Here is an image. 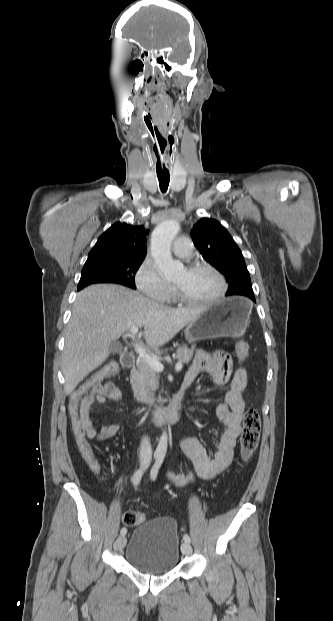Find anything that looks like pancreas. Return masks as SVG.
Returning <instances> with one entry per match:
<instances>
[{"label":"pancreas","instance_id":"1","mask_svg":"<svg viewBox=\"0 0 333 621\" xmlns=\"http://www.w3.org/2000/svg\"><path fill=\"white\" fill-rule=\"evenodd\" d=\"M195 348L183 345L177 349L176 358L178 363H189L193 357ZM159 375L155 369L145 362L144 359L137 361V368L131 371L130 383L134 392V398L138 402H149L158 387Z\"/></svg>","mask_w":333,"mask_h":621}]
</instances>
